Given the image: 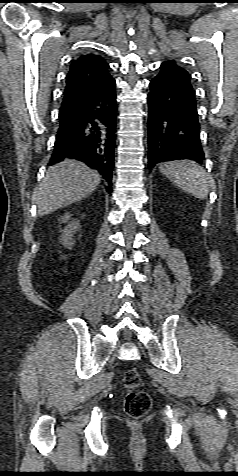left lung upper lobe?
<instances>
[{
  "mask_svg": "<svg viewBox=\"0 0 238 476\" xmlns=\"http://www.w3.org/2000/svg\"><path fill=\"white\" fill-rule=\"evenodd\" d=\"M162 65L168 66L173 74L179 76L187 86L192 88L191 76L184 68L178 66L174 61H167L162 63Z\"/></svg>",
  "mask_w": 238,
  "mask_h": 476,
  "instance_id": "1",
  "label": "left lung upper lobe"
}]
</instances>
